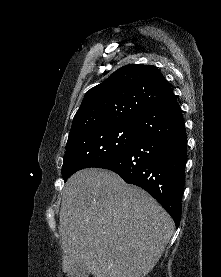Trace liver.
I'll list each match as a JSON object with an SVG mask.
<instances>
[{
    "label": "liver",
    "mask_w": 221,
    "mask_h": 277,
    "mask_svg": "<svg viewBox=\"0 0 221 277\" xmlns=\"http://www.w3.org/2000/svg\"><path fill=\"white\" fill-rule=\"evenodd\" d=\"M59 221L63 271L83 263L94 277H145L174 231L171 216L147 192L98 168L67 180Z\"/></svg>",
    "instance_id": "liver-1"
}]
</instances>
